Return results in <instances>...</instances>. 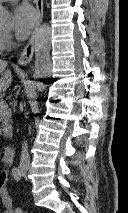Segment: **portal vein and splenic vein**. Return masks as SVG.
Here are the masks:
<instances>
[{
	"instance_id": "1",
	"label": "portal vein and splenic vein",
	"mask_w": 128,
	"mask_h": 213,
	"mask_svg": "<svg viewBox=\"0 0 128 213\" xmlns=\"http://www.w3.org/2000/svg\"><path fill=\"white\" fill-rule=\"evenodd\" d=\"M8 108V105L6 102L1 101L0 102V110H6Z\"/></svg>"
}]
</instances>
